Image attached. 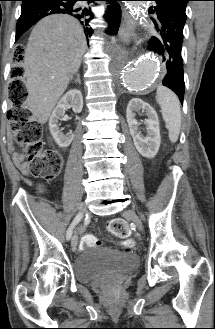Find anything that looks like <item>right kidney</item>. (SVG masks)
<instances>
[{
    "label": "right kidney",
    "mask_w": 215,
    "mask_h": 329,
    "mask_svg": "<svg viewBox=\"0 0 215 329\" xmlns=\"http://www.w3.org/2000/svg\"><path fill=\"white\" fill-rule=\"evenodd\" d=\"M71 107L74 113H80L83 108V97L81 91L77 89L69 90L58 102L49 119L50 133L60 148L68 147L74 135L63 133L59 126V120L64 116L67 108Z\"/></svg>",
    "instance_id": "ca27d5eb"
}]
</instances>
